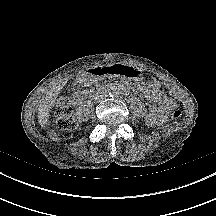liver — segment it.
<instances>
[{
  "label": "liver",
  "instance_id": "6515ba94",
  "mask_svg": "<svg viewBox=\"0 0 216 216\" xmlns=\"http://www.w3.org/2000/svg\"><path fill=\"white\" fill-rule=\"evenodd\" d=\"M63 84H57L53 87V90L47 92L46 96L42 100L38 108V122L40 126L45 129L48 125L49 113L52 107L55 105L56 98L60 92Z\"/></svg>",
  "mask_w": 216,
  "mask_h": 216
}]
</instances>
